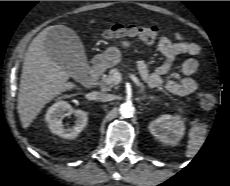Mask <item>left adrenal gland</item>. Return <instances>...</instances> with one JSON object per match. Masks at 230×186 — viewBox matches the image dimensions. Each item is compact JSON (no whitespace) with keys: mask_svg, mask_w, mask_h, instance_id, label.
Returning <instances> with one entry per match:
<instances>
[{"mask_svg":"<svg viewBox=\"0 0 230 186\" xmlns=\"http://www.w3.org/2000/svg\"><path fill=\"white\" fill-rule=\"evenodd\" d=\"M142 99H155V97H153V96H149V97L143 96Z\"/></svg>","mask_w":230,"mask_h":186,"instance_id":"obj_1","label":"left adrenal gland"}]
</instances>
